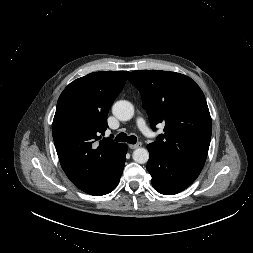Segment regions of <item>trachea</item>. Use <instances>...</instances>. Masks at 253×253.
Masks as SVG:
<instances>
[{"label":"trachea","mask_w":253,"mask_h":253,"mask_svg":"<svg viewBox=\"0 0 253 253\" xmlns=\"http://www.w3.org/2000/svg\"><path fill=\"white\" fill-rule=\"evenodd\" d=\"M115 140L118 141V142H127V143H130V144H135L137 142L136 136H134V135L127 136V134H125L123 132L119 133L116 136Z\"/></svg>","instance_id":"trachea-1"}]
</instances>
